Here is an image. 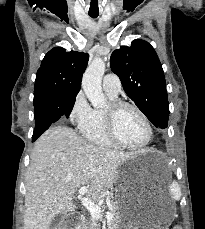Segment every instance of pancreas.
<instances>
[{
  "instance_id": "pancreas-1",
  "label": "pancreas",
  "mask_w": 205,
  "mask_h": 229,
  "mask_svg": "<svg viewBox=\"0 0 205 229\" xmlns=\"http://www.w3.org/2000/svg\"><path fill=\"white\" fill-rule=\"evenodd\" d=\"M109 212L113 214V219L108 223V229H119L120 215L119 206L117 202H112L108 208ZM83 229H99L96 220L90 219L83 225Z\"/></svg>"
}]
</instances>
